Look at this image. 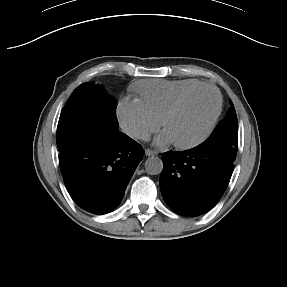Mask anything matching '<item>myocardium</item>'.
Instances as JSON below:
<instances>
[{"instance_id":"obj_1","label":"myocardium","mask_w":287,"mask_h":287,"mask_svg":"<svg viewBox=\"0 0 287 287\" xmlns=\"http://www.w3.org/2000/svg\"><path fill=\"white\" fill-rule=\"evenodd\" d=\"M210 90L212 91L215 96H216V108L215 111L208 123V125L206 126L205 130L195 139L188 141V142H183V143H178V142H174V145L179 148V149H191L194 148L200 144H202L212 133L218 119L219 116L221 114L222 111V96L219 92V90L210 85V84H200L198 86H195L193 88L188 89L186 92H184L179 98H177L175 100V102L170 106V108L167 110V112L165 113V115L162 118V127L165 129L167 123L170 121V119H172L180 110V108L182 107V105L184 104V102L194 93H196L197 91L200 90Z\"/></svg>"}]
</instances>
